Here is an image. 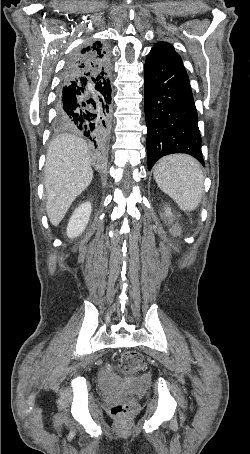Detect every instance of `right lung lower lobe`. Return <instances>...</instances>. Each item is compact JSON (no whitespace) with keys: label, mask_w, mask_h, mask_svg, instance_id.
<instances>
[{"label":"right lung lower lobe","mask_w":250,"mask_h":454,"mask_svg":"<svg viewBox=\"0 0 250 454\" xmlns=\"http://www.w3.org/2000/svg\"><path fill=\"white\" fill-rule=\"evenodd\" d=\"M83 51L88 54L100 52L104 61L109 53L103 45L93 49L88 43L78 49L69 60L57 93L56 112L60 126L81 132L95 147L104 149L110 135L111 86L109 70L95 73L90 68L67 74L66 70L75 62L85 60Z\"/></svg>","instance_id":"right-lung-lower-lobe-1"}]
</instances>
